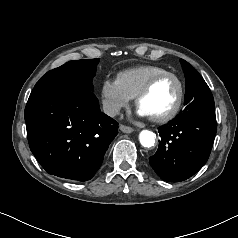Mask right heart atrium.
<instances>
[{
    "instance_id": "right-heart-atrium-1",
    "label": "right heart atrium",
    "mask_w": 238,
    "mask_h": 238,
    "mask_svg": "<svg viewBox=\"0 0 238 238\" xmlns=\"http://www.w3.org/2000/svg\"><path fill=\"white\" fill-rule=\"evenodd\" d=\"M101 98L104 110L110 116L118 115L131 99L122 90L117 79H105L103 81L101 85Z\"/></svg>"
}]
</instances>
